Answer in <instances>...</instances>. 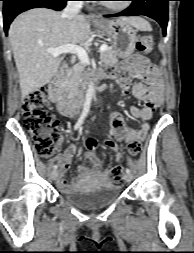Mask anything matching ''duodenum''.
Returning a JSON list of instances; mask_svg holds the SVG:
<instances>
[{
    "label": "duodenum",
    "instance_id": "410a0bca",
    "mask_svg": "<svg viewBox=\"0 0 194 253\" xmlns=\"http://www.w3.org/2000/svg\"><path fill=\"white\" fill-rule=\"evenodd\" d=\"M65 74L66 73H59L50 82L49 91L51 98L57 104L58 111L64 116H73L79 111L81 104L78 101L68 98L64 95L62 87ZM101 77V74H98L92 79V81H97ZM77 89H80V86H77ZM82 92L83 94H81V97H85V86H82Z\"/></svg>",
    "mask_w": 194,
    "mask_h": 253
}]
</instances>
